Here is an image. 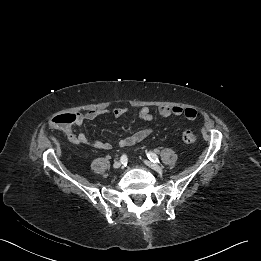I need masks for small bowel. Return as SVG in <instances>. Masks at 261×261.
Listing matches in <instances>:
<instances>
[{
  "instance_id": "1",
  "label": "small bowel",
  "mask_w": 261,
  "mask_h": 261,
  "mask_svg": "<svg viewBox=\"0 0 261 261\" xmlns=\"http://www.w3.org/2000/svg\"><path fill=\"white\" fill-rule=\"evenodd\" d=\"M129 111L130 110L128 108L119 107L112 110L111 115L115 118H126L129 114ZM106 113L107 112L96 110H91L86 113H75V123L72 126L63 129V133L65 134L67 140L74 144L89 145L98 150H109L111 148L110 143L102 140L90 141L83 132L75 133L73 129L74 126L81 127L83 123L87 121H93ZM158 113L162 117L184 116L188 120H194L197 117L196 109L191 107L183 108L180 106H161L158 109ZM138 116L140 119L147 122L153 120V115L151 114L150 109L146 106L141 107L138 110ZM151 132L152 129L149 127L140 129L130 136L119 139L118 145L122 148L135 145L136 143L146 139L151 134Z\"/></svg>"
}]
</instances>
